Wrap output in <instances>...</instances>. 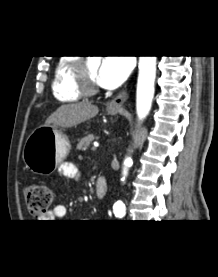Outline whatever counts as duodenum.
<instances>
[{
	"instance_id": "obj_1",
	"label": "duodenum",
	"mask_w": 218,
	"mask_h": 277,
	"mask_svg": "<svg viewBox=\"0 0 218 277\" xmlns=\"http://www.w3.org/2000/svg\"><path fill=\"white\" fill-rule=\"evenodd\" d=\"M94 187L97 197L104 198L108 190L107 181L104 178H98Z\"/></svg>"
}]
</instances>
